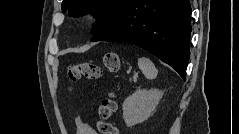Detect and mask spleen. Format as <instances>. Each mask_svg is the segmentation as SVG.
I'll use <instances>...</instances> for the list:
<instances>
[{
    "instance_id": "obj_1",
    "label": "spleen",
    "mask_w": 239,
    "mask_h": 134,
    "mask_svg": "<svg viewBox=\"0 0 239 134\" xmlns=\"http://www.w3.org/2000/svg\"><path fill=\"white\" fill-rule=\"evenodd\" d=\"M138 66L147 79L156 78L158 70L150 59L145 57L138 58Z\"/></svg>"
}]
</instances>
